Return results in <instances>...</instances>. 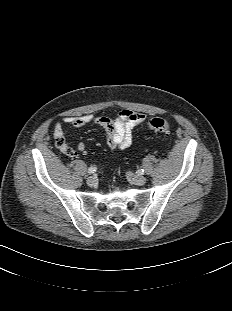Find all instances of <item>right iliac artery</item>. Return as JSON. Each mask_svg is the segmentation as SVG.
Here are the masks:
<instances>
[{"label": "right iliac artery", "mask_w": 232, "mask_h": 311, "mask_svg": "<svg viewBox=\"0 0 232 311\" xmlns=\"http://www.w3.org/2000/svg\"><path fill=\"white\" fill-rule=\"evenodd\" d=\"M96 167L95 166H92V167H90L89 169H88V173L89 174H93V173H95L96 172Z\"/></svg>", "instance_id": "1"}]
</instances>
